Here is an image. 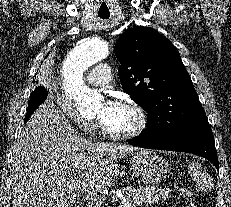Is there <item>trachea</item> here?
Here are the masks:
<instances>
[{"label": "trachea", "instance_id": "trachea-1", "mask_svg": "<svg viewBox=\"0 0 231 207\" xmlns=\"http://www.w3.org/2000/svg\"><path fill=\"white\" fill-rule=\"evenodd\" d=\"M99 17L102 19H108L110 16L109 15H99Z\"/></svg>", "mask_w": 231, "mask_h": 207}]
</instances>
